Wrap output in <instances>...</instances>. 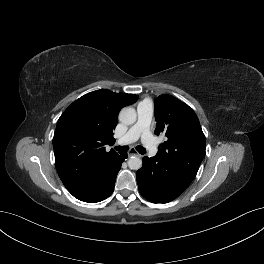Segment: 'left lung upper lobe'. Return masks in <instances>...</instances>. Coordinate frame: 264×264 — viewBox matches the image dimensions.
<instances>
[{"mask_svg": "<svg viewBox=\"0 0 264 264\" xmlns=\"http://www.w3.org/2000/svg\"><path fill=\"white\" fill-rule=\"evenodd\" d=\"M155 134L165 133L157 155L181 167L199 169L205 156L206 140L195 112L179 99L162 94L155 100Z\"/></svg>", "mask_w": 264, "mask_h": 264, "instance_id": "1", "label": "left lung upper lobe"}]
</instances>
